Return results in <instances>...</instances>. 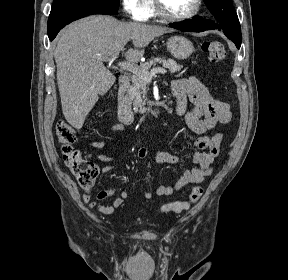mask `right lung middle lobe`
I'll use <instances>...</instances> for the list:
<instances>
[{"label": "right lung middle lobe", "instance_id": "right-lung-middle-lobe-1", "mask_svg": "<svg viewBox=\"0 0 288 280\" xmlns=\"http://www.w3.org/2000/svg\"><path fill=\"white\" fill-rule=\"evenodd\" d=\"M85 1L101 4L118 13L119 0H54L51 11H54L60 7H63L69 4L85 2Z\"/></svg>", "mask_w": 288, "mask_h": 280}]
</instances>
